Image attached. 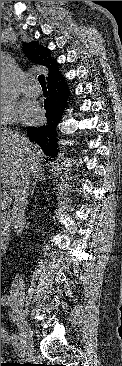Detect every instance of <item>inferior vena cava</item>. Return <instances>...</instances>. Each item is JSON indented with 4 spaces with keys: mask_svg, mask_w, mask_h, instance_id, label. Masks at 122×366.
<instances>
[{
    "mask_svg": "<svg viewBox=\"0 0 122 366\" xmlns=\"http://www.w3.org/2000/svg\"><path fill=\"white\" fill-rule=\"evenodd\" d=\"M30 178V172H23L12 190L14 204L11 211L10 222L18 236L21 234L25 225V210L28 204ZM10 294L11 296L19 297L20 299L24 298V284L20 279L19 281H13Z\"/></svg>",
    "mask_w": 122,
    "mask_h": 366,
    "instance_id": "inferior-vena-cava-1",
    "label": "inferior vena cava"
}]
</instances>
